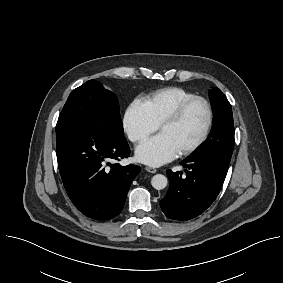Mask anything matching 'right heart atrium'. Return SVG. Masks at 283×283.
<instances>
[{
    "label": "right heart atrium",
    "mask_w": 283,
    "mask_h": 283,
    "mask_svg": "<svg viewBox=\"0 0 283 283\" xmlns=\"http://www.w3.org/2000/svg\"><path fill=\"white\" fill-rule=\"evenodd\" d=\"M123 128L130 141L139 143L158 129V124L149 115L143 101L134 99L127 106Z\"/></svg>",
    "instance_id": "right-heart-atrium-1"
}]
</instances>
